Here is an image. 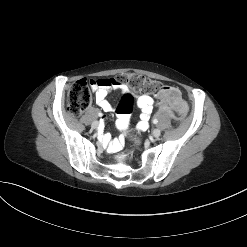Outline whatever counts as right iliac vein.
Segmentation results:
<instances>
[{
    "mask_svg": "<svg viewBox=\"0 0 247 247\" xmlns=\"http://www.w3.org/2000/svg\"><path fill=\"white\" fill-rule=\"evenodd\" d=\"M91 126L92 128L96 129L99 126L98 121H94Z\"/></svg>",
    "mask_w": 247,
    "mask_h": 247,
    "instance_id": "right-iliac-vein-1",
    "label": "right iliac vein"
}]
</instances>
